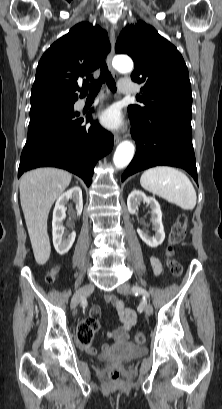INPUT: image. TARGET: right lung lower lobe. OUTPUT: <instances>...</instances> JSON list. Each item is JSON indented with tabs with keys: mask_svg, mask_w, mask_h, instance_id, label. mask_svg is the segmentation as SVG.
Listing matches in <instances>:
<instances>
[{
	"mask_svg": "<svg viewBox=\"0 0 222 409\" xmlns=\"http://www.w3.org/2000/svg\"><path fill=\"white\" fill-rule=\"evenodd\" d=\"M74 109L59 107L30 121L18 178L33 168L52 166L80 176L87 186L92 182L97 161L113 148V135L88 115L91 126Z\"/></svg>",
	"mask_w": 222,
	"mask_h": 409,
	"instance_id": "obj_1",
	"label": "right lung lower lobe"
}]
</instances>
